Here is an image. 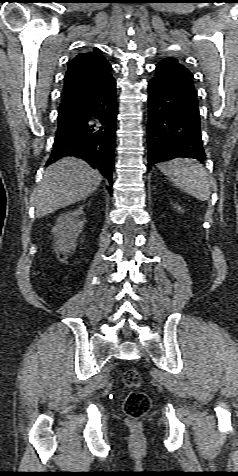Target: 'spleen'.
<instances>
[{
    "label": "spleen",
    "instance_id": "obj_1",
    "mask_svg": "<svg viewBox=\"0 0 238 476\" xmlns=\"http://www.w3.org/2000/svg\"><path fill=\"white\" fill-rule=\"evenodd\" d=\"M158 168L180 190L201 201L209 199L211 192L208 173L196 160L177 158L160 164Z\"/></svg>",
    "mask_w": 238,
    "mask_h": 476
}]
</instances>
